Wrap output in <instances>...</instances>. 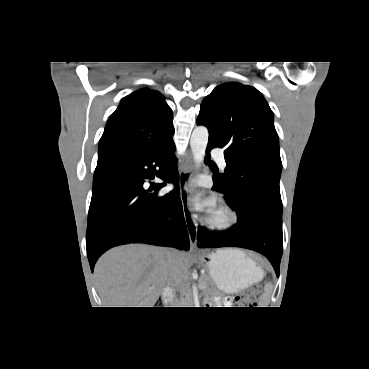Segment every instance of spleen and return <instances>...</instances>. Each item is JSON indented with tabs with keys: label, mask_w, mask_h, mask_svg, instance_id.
<instances>
[{
	"label": "spleen",
	"mask_w": 369,
	"mask_h": 369,
	"mask_svg": "<svg viewBox=\"0 0 369 369\" xmlns=\"http://www.w3.org/2000/svg\"><path fill=\"white\" fill-rule=\"evenodd\" d=\"M270 290H271V286L268 284V285H266L265 286V292H266V294H265V296H264V302L262 303V305H267V303H266V298H267V295H268V293L270 292Z\"/></svg>",
	"instance_id": "spleen-1"
}]
</instances>
